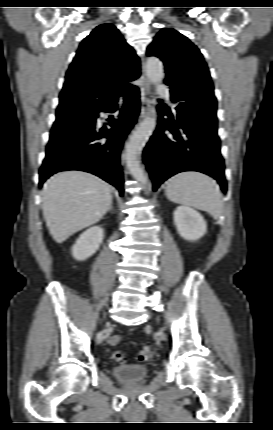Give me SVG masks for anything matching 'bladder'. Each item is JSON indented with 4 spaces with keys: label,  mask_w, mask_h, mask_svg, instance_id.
Instances as JSON below:
<instances>
[{
    "label": "bladder",
    "mask_w": 273,
    "mask_h": 430,
    "mask_svg": "<svg viewBox=\"0 0 273 430\" xmlns=\"http://www.w3.org/2000/svg\"><path fill=\"white\" fill-rule=\"evenodd\" d=\"M112 372L123 383H138L148 376V368L139 364H121L115 366Z\"/></svg>",
    "instance_id": "bladder-1"
}]
</instances>
